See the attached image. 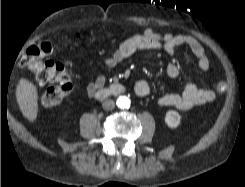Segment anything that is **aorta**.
I'll return each mask as SVG.
<instances>
[{"instance_id":"aorta-1","label":"aorta","mask_w":245,"mask_h":187,"mask_svg":"<svg viewBox=\"0 0 245 187\" xmlns=\"http://www.w3.org/2000/svg\"><path fill=\"white\" fill-rule=\"evenodd\" d=\"M117 106L121 109H127L130 107V100L128 97L126 96H120L118 99H117Z\"/></svg>"}]
</instances>
